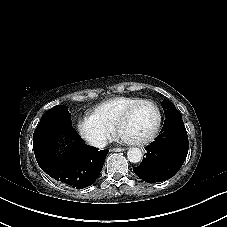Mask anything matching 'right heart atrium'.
<instances>
[{
  "label": "right heart atrium",
  "mask_w": 227,
  "mask_h": 227,
  "mask_svg": "<svg viewBox=\"0 0 227 227\" xmlns=\"http://www.w3.org/2000/svg\"><path fill=\"white\" fill-rule=\"evenodd\" d=\"M79 133L92 146H100L110 137V130L107 127L97 125L92 121L82 123L79 126Z\"/></svg>",
  "instance_id": "right-heart-atrium-1"
}]
</instances>
